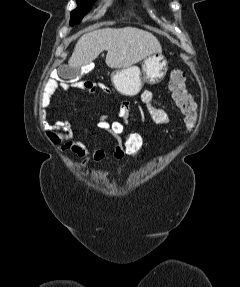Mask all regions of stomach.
<instances>
[{"instance_id": "stomach-1", "label": "stomach", "mask_w": 240, "mask_h": 287, "mask_svg": "<svg viewBox=\"0 0 240 287\" xmlns=\"http://www.w3.org/2000/svg\"><path fill=\"white\" fill-rule=\"evenodd\" d=\"M167 69V60L161 52L153 53L145 58L142 70L137 66L116 70L111 74V81L115 89L122 95L135 96L145 83L151 85L160 83L164 79Z\"/></svg>"}]
</instances>
